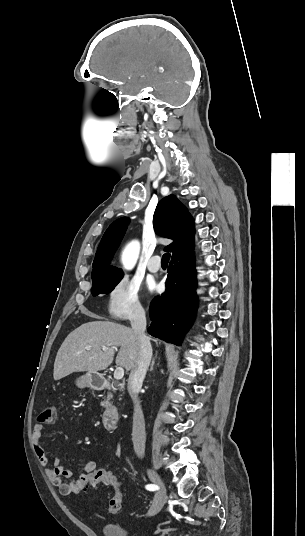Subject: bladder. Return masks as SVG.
<instances>
[{"instance_id": "obj_1", "label": "bladder", "mask_w": 305, "mask_h": 536, "mask_svg": "<svg viewBox=\"0 0 305 536\" xmlns=\"http://www.w3.org/2000/svg\"><path fill=\"white\" fill-rule=\"evenodd\" d=\"M100 530L103 536H135L131 528L123 524L102 522Z\"/></svg>"}]
</instances>
